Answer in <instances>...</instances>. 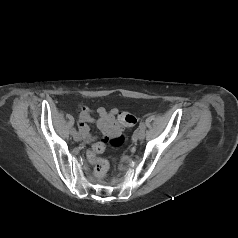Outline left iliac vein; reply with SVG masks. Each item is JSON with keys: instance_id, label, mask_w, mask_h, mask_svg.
<instances>
[{"instance_id": "4c4485c4", "label": "left iliac vein", "mask_w": 238, "mask_h": 238, "mask_svg": "<svg viewBox=\"0 0 238 238\" xmlns=\"http://www.w3.org/2000/svg\"><path fill=\"white\" fill-rule=\"evenodd\" d=\"M136 137H137V139H139V140H143L144 137H145V132H144L142 129H140V130L137 132Z\"/></svg>"}]
</instances>
